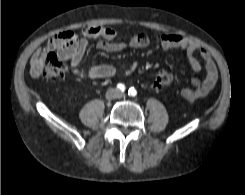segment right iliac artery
<instances>
[{
  "label": "right iliac artery",
  "instance_id": "right-iliac-artery-1",
  "mask_svg": "<svg viewBox=\"0 0 245 195\" xmlns=\"http://www.w3.org/2000/svg\"><path fill=\"white\" fill-rule=\"evenodd\" d=\"M117 88L120 90V91H124L125 90V85L124 84H122V83H119L118 85H117Z\"/></svg>",
  "mask_w": 245,
  "mask_h": 195
}]
</instances>
